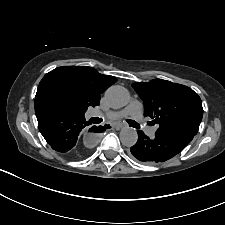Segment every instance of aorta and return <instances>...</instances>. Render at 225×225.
<instances>
[{
	"label": "aorta",
	"mask_w": 225,
	"mask_h": 225,
	"mask_svg": "<svg viewBox=\"0 0 225 225\" xmlns=\"http://www.w3.org/2000/svg\"><path fill=\"white\" fill-rule=\"evenodd\" d=\"M106 99L110 106L120 108L126 106L130 101V95L127 89L122 86H111L106 91ZM120 140L124 146L131 147L136 144L138 134L135 129L125 127L120 131Z\"/></svg>",
	"instance_id": "762f6f07"
}]
</instances>
